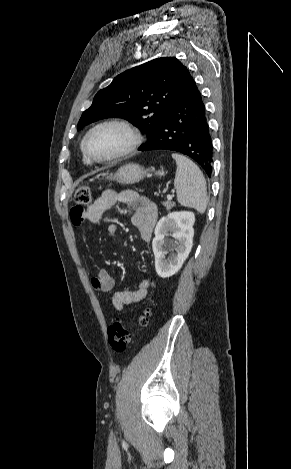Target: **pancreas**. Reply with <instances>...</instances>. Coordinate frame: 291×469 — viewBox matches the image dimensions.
I'll use <instances>...</instances> for the list:
<instances>
[{
  "mask_svg": "<svg viewBox=\"0 0 291 469\" xmlns=\"http://www.w3.org/2000/svg\"><path fill=\"white\" fill-rule=\"evenodd\" d=\"M163 205L166 207L167 210H170L175 206V203L167 201V202H164Z\"/></svg>",
  "mask_w": 291,
  "mask_h": 469,
  "instance_id": "1",
  "label": "pancreas"
}]
</instances>
